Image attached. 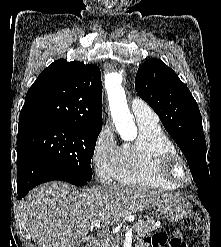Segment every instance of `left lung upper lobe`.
<instances>
[{
    "label": "left lung upper lobe",
    "mask_w": 221,
    "mask_h": 247,
    "mask_svg": "<svg viewBox=\"0 0 221 247\" xmlns=\"http://www.w3.org/2000/svg\"><path fill=\"white\" fill-rule=\"evenodd\" d=\"M135 88L184 153L198 188L210 189L201 114L188 87L160 59H149L137 71Z\"/></svg>",
    "instance_id": "1"
}]
</instances>
